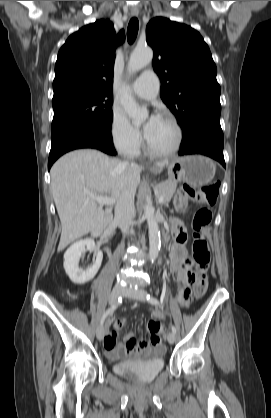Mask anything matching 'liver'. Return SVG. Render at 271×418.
<instances>
[{
  "label": "liver",
  "instance_id": "obj_1",
  "mask_svg": "<svg viewBox=\"0 0 271 418\" xmlns=\"http://www.w3.org/2000/svg\"><path fill=\"white\" fill-rule=\"evenodd\" d=\"M168 162H157L162 168ZM142 167L108 157L91 149L70 152L51 168V190L61 221L58 251L83 235L96 230L111 213L89 195H109L115 201L123 192L135 195Z\"/></svg>",
  "mask_w": 271,
  "mask_h": 418
}]
</instances>
